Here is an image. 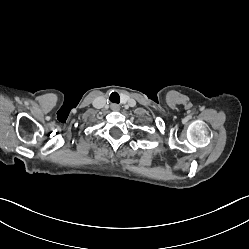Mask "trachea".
<instances>
[{"label": "trachea", "instance_id": "1", "mask_svg": "<svg viewBox=\"0 0 249 249\" xmlns=\"http://www.w3.org/2000/svg\"><path fill=\"white\" fill-rule=\"evenodd\" d=\"M110 101L114 102V103H119L120 97H119L118 93H116V92L111 93Z\"/></svg>", "mask_w": 249, "mask_h": 249}]
</instances>
